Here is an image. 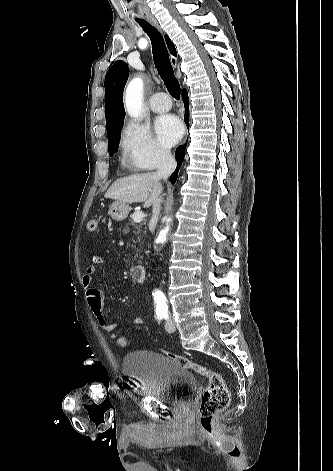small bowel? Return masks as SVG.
<instances>
[{
  "mask_svg": "<svg viewBox=\"0 0 333 471\" xmlns=\"http://www.w3.org/2000/svg\"><path fill=\"white\" fill-rule=\"evenodd\" d=\"M103 263V258L99 255H92L88 265L85 268V272L82 276V284L85 290V296L87 300L88 307L93 315L96 317L98 324L102 331L110 333L111 337L114 339L117 333V324L109 323L103 313V293L100 289L93 285V278L96 272V269L99 265ZM134 325H141L143 319L139 316H135L132 319Z\"/></svg>",
  "mask_w": 333,
  "mask_h": 471,
  "instance_id": "1",
  "label": "small bowel"
}]
</instances>
